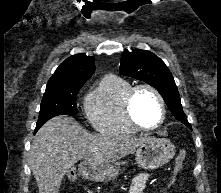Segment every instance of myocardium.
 Returning <instances> with one entry per match:
<instances>
[{"label":"myocardium","instance_id":"f54148a6","mask_svg":"<svg viewBox=\"0 0 221 193\" xmlns=\"http://www.w3.org/2000/svg\"><path fill=\"white\" fill-rule=\"evenodd\" d=\"M143 89L152 92L158 99L160 106H161L160 121L158 122L157 125L152 126V127H146V126L141 125L140 123L136 121V119L133 116L132 107H133L134 97L138 91L143 90ZM124 111L130 124L134 126L136 129L145 131V132H153V131L160 129L164 125L166 121V117H167V105H166L164 97L162 96V94L159 92L157 88L147 83L137 84V85L132 86L129 89L124 99Z\"/></svg>","mask_w":221,"mask_h":193}]
</instances>
